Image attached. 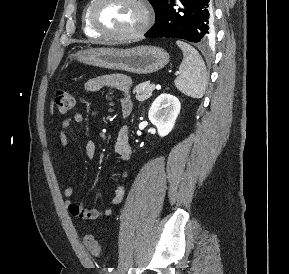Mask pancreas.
Instances as JSON below:
<instances>
[{"instance_id":"cf45deb5","label":"pancreas","mask_w":289,"mask_h":274,"mask_svg":"<svg viewBox=\"0 0 289 274\" xmlns=\"http://www.w3.org/2000/svg\"><path fill=\"white\" fill-rule=\"evenodd\" d=\"M151 85L149 81L138 84L133 93L136 94L138 101L147 100L152 95Z\"/></svg>"}]
</instances>
